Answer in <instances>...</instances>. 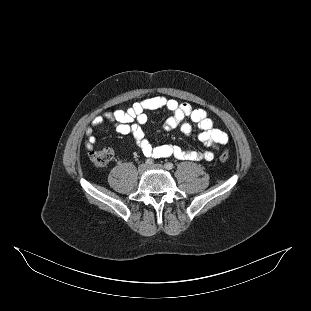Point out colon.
I'll list each match as a JSON object with an SVG mask.
<instances>
[{"instance_id":"1","label":"colon","mask_w":311,"mask_h":311,"mask_svg":"<svg viewBox=\"0 0 311 311\" xmlns=\"http://www.w3.org/2000/svg\"><path fill=\"white\" fill-rule=\"evenodd\" d=\"M89 157L95 166L104 167L112 159V151L108 148L96 151L92 150L89 153ZM219 159L222 162L227 161L229 159V151L223 150L219 155Z\"/></svg>"}]
</instances>
